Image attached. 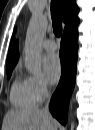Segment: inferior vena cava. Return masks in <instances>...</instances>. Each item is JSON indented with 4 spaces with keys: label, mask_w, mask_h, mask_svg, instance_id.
<instances>
[{
    "label": "inferior vena cava",
    "mask_w": 95,
    "mask_h": 130,
    "mask_svg": "<svg viewBox=\"0 0 95 130\" xmlns=\"http://www.w3.org/2000/svg\"><path fill=\"white\" fill-rule=\"evenodd\" d=\"M42 111H43L44 113H46L47 115H50L49 109H48V105H46V106L42 109Z\"/></svg>",
    "instance_id": "inferior-vena-cava-1"
}]
</instances>
